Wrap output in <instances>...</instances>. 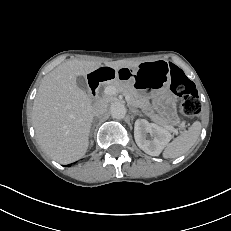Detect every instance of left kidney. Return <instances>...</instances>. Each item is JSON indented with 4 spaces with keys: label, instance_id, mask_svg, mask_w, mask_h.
<instances>
[{
    "label": "left kidney",
    "instance_id": "obj_1",
    "mask_svg": "<svg viewBox=\"0 0 231 231\" xmlns=\"http://www.w3.org/2000/svg\"><path fill=\"white\" fill-rule=\"evenodd\" d=\"M151 139H147V134ZM135 141L140 149L151 156H158L171 139V134L155 123L138 119L134 126Z\"/></svg>",
    "mask_w": 231,
    "mask_h": 231
}]
</instances>
